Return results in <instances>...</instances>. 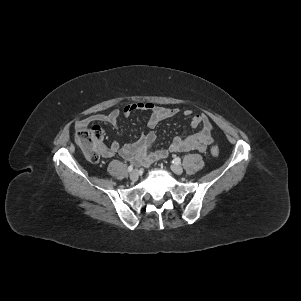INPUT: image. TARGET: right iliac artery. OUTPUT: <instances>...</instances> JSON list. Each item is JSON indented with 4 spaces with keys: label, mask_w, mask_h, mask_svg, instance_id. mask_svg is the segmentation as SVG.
<instances>
[{
    "label": "right iliac artery",
    "mask_w": 301,
    "mask_h": 301,
    "mask_svg": "<svg viewBox=\"0 0 301 301\" xmlns=\"http://www.w3.org/2000/svg\"><path fill=\"white\" fill-rule=\"evenodd\" d=\"M133 170V165L131 164L129 167H128V172H131Z\"/></svg>",
    "instance_id": "1"
}]
</instances>
